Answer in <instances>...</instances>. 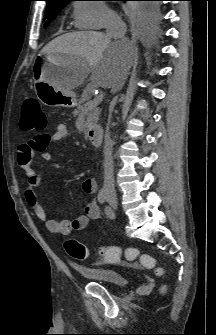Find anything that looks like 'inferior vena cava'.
Segmentation results:
<instances>
[{"mask_svg":"<svg viewBox=\"0 0 216 335\" xmlns=\"http://www.w3.org/2000/svg\"><path fill=\"white\" fill-rule=\"evenodd\" d=\"M127 31L126 24L122 19L112 14L107 20L106 24V35L116 40H125V34ZM127 78V70L124 71L120 76V86L124 85ZM116 101V99H115ZM111 114L108 118V124L106 127L105 139H104V188L108 191H114V168H113V156H112V140L110 138L109 124Z\"/></svg>","mask_w":216,"mask_h":335,"instance_id":"obj_1","label":"inferior vena cava"}]
</instances>
